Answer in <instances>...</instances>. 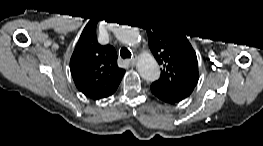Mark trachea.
<instances>
[{
	"instance_id": "obj_1",
	"label": "trachea",
	"mask_w": 263,
	"mask_h": 146,
	"mask_svg": "<svg viewBox=\"0 0 263 146\" xmlns=\"http://www.w3.org/2000/svg\"><path fill=\"white\" fill-rule=\"evenodd\" d=\"M120 55L123 59L125 58H130L131 57V52L127 48H122L120 50Z\"/></svg>"
}]
</instances>
